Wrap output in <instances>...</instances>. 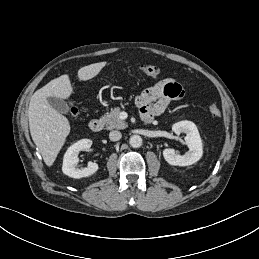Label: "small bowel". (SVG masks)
I'll list each match as a JSON object with an SVG mask.
<instances>
[{
    "label": "small bowel",
    "mask_w": 259,
    "mask_h": 259,
    "mask_svg": "<svg viewBox=\"0 0 259 259\" xmlns=\"http://www.w3.org/2000/svg\"><path fill=\"white\" fill-rule=\"evenodd\" d=\"M183 94V88L176 80L165 78L139 93L135 98V103L143 119H153L162 114Z\"/></svg>",
    "instance_id": "c3829d8e"
}]
</instances>
